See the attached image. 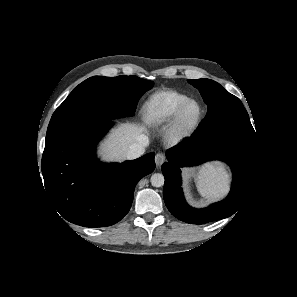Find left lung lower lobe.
<instances>
[{
    "instance_id": "obj_1",
    "label": "left lung lower lobe",
    "mask_w": 297,
    "mask_h": 297,
    "mask_svg": "<svg viewBox=\"0 0 297 297\" xmlns=\"http://www.w3.org/2000/svg\"><path fill=\"white\" fill-rule=\"evenodd\" d=\"M166 155L168 161L161 167L165 177L163 197L176 218L190 224H206L227 218L241 209L250 193L257 169L254 140L228 132L205 137H198L194 132L190 138L169 149ZM209 160H223L230 165L233 172L231 191L223 201L203 209H194L184 199L180 167Z\"/></svg>"
}]
</instances>
